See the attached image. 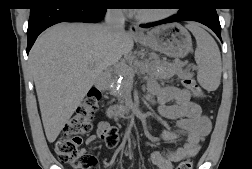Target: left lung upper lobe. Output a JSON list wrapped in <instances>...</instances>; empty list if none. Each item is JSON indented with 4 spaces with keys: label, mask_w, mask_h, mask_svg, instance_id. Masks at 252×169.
<instances>
[{
    "label": "left lung upper lobe",
    "mask_w": 252,
    "mask_h": 169,
    "mask_svg": "<svg viewBox=\"0 0 252 169\" xmlns=\"http://www.w3.org/2000/svg\"><path fill=\"white\" fill-rule=\"evenodd\" d=\"M179 12H188L208 6H215L214 0H183Z\"/></svg>",
    "instance_id": "left-lung-upper-lobe-1"
}]
</instances>
